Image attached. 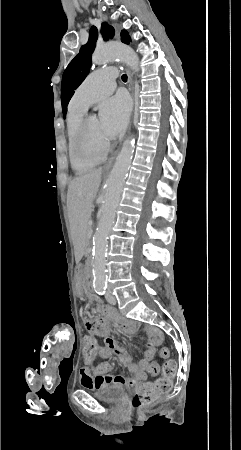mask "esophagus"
<instances>
[{"instance_id": "obj_1", "label": "esophagus", "mask_w": 241, "mask_h": 450, "mask_svg": "<svg viewBox=\"0 0 241 450\" xmlns=\"http://www.w3.org/2000/svg\"><path fill=\"white\" fill-rule=\"evenodd\" d=\"M128 83H129V87L133 90L132 76H131V74H130L129 71H128ZM115 158H116V154L113 155V156L106 162V164L104 165V168H105V169L110 168V167L112 166V164H113Z\"/></svg>"}]
</instances>
